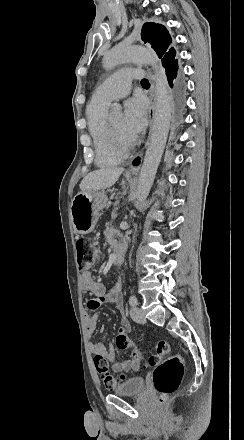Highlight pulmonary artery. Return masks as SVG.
<instances>
[{
  "label": "pulmonary artery",
  "mask_w": 244,
  "mask_h": 440,
  "mask_svg": "<svg viewBox=\"0 0 244 440\" xmlns=\"http://www.w3.org/2000/svg\"><path fill=\"white\" fill-rule=\"evenodd\" d=\"M145 69H113L108 76V82L100 83V90L92 95L93 102L110 103L127 95L130 78H145Z\"/></svg>",
  "instance_id": "obj_1"
}]
</instances>
